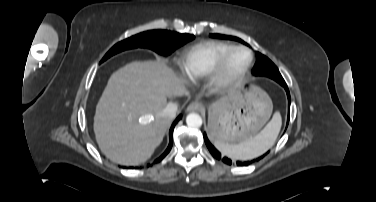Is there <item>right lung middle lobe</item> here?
I'll return each instance as SVG.
<instances>
[{"instance_id": "obj_1", "label": "right lung middle lobe", "mask_w": 376, "mask_h": 202, "mask_svg": "<svg viewBox=\"0 0 376 202\" xmlns=\"http://www.w3.org/2000/svg\"><path fill=\"white\" fill-rule=\"evenodd\" d=\"M194 39V35L180 34L167 30H152L134 35L114 45L101 62L126 49L145 47L162 55H169L174 50Z\"/></svg>"}]
</instances>
